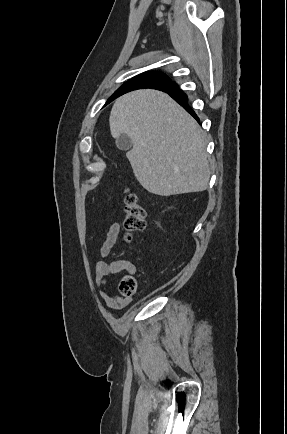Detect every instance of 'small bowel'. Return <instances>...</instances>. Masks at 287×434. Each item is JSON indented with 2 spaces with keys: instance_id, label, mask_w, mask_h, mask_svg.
<instances>
[{
  "instance_id": "1",
  "label": "small bowel",
  "mask_w": 287,
  "mask_h": 434,
  "mask_svg": "<svg viewBox=\"0 0 287 434\" xmlns=\"http://www.w3.org/2000/svg\"><path fill=\"white\" fill-rule=\"evenodd\" d=\"M120 234V225L117 222L112 223L100 247V254L103 258L110 256L114 246L118 241ZM126 271L133 273L135 267L125 259H116L112 261H98L95 266V282L100 289V296L105 304L113 309L120 310L132 302V298H122L116 296L107 290L109 279L116 273Z\"/></svg>"
}]
</instances>
